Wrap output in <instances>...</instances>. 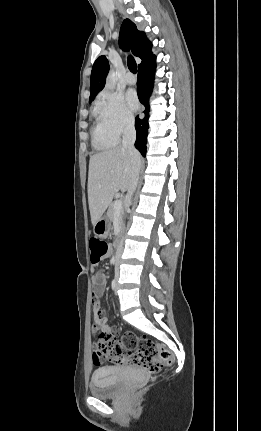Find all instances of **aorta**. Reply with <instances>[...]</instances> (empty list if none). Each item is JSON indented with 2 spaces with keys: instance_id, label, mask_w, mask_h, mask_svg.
<instances>
[{
  "instance_id": "762f6f07",
  "label": "aorta",
  "mask_w": 261,
  "mask_h": 431,
  "mask_svg": "<svg viewBox=\"0 0 261 431\" xmlns=\"http://www.w3.org/2000/svg\"><path fill=\"white\" fill-rule=\"evenodd\" d=\"M116 82H117L116 73L114 71H111L107 76L106 83L108 86L113 88L115 87Z\"/></svg>"
}]
</instances>
